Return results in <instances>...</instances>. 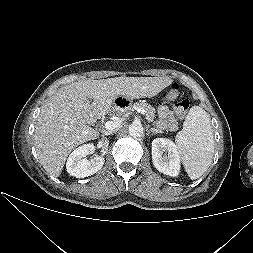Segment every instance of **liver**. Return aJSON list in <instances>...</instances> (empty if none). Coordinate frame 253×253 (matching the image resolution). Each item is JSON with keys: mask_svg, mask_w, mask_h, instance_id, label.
<instances>
[{"mask_svg": "<svg viewBox=\"0 0 253 253\" xmlns=\"http://www.w3.org/2000/svg\"><path fill=\"white\" fill-rule=\"evenodd\" d=\"M172 83L168 77H116L61 87L37 118L34 145L41 165L59 177L70 152L99 137L91 125L111 112L115 98H151Z\"/></svg>", "mask_w": 253, "mask_h": 253, "instance_id": "liver-1", "label": "liver"}]
</instances>
